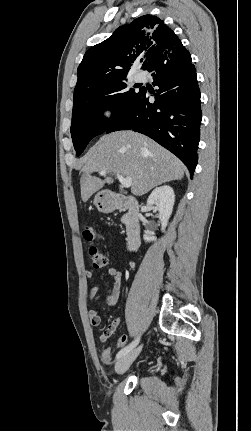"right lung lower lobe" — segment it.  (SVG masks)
Instances as JSON below:
<instances>
[{
    "mask_svg": "<svg viewBox=\"0 0 251 431\" xmlns=\"http://www.w3.org/2000/svg\"><path fill=\"white\" fill-rule=\"evenodd\" d=\"M154 71L156 92L140 91L115 117L105 132L132 129L175 154L189 169L197 165L200 137V91L191 56L183 45L165 51L147 68ZM155 102L148 101L150 96Z\"/></svg>",
    "mask_w": 251,
    "mask_h": 431,
    "instance_id": "right-lung-lower-lobe-1",
    "label": "right lung lower lobe"
}]
</instances>
